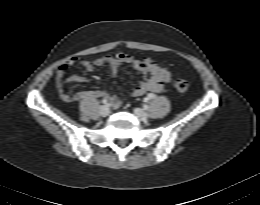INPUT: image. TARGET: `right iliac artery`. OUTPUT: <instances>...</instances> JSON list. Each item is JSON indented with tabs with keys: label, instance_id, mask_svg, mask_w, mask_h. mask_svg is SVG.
I'll return each mask as SVG.
<instances>
[{
	"label": "right iliac artery",
	"instance_id": "obj_1",
	"mask_svg": "<svg viewBox=\"0 0 260 205\" xmlns=\"http://www.w3.org/2000/svg\"><path fill=\"white\" fill-rule=\"evenodd\" d=\"M101 103H102V104H107L108 101H107V99H103V100L101 101Z\"/></svg>",
	"mask_w": 260,
	"mask_h": 205
}]
</instances>
